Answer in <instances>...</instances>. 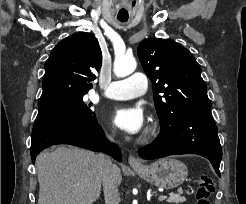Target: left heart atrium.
Masks as SVG:
<instances>
[{"label":"left heart atrium","mask_w":246,"mask_h":204,"mask_svg":"<svg viewBox=\"0 0 246 204\" xmlns=\"http://www.w3.org/2000/svg\"><path fill=\"white\" fill-rule=\"evenodd\" d=\"M114 124L129 134L139 133L145 125L142 109L135 105L117 106L111 113Z\"/></svg>","instance_id":"obj_1"}]
</instances>
